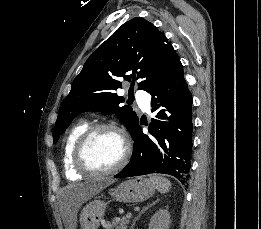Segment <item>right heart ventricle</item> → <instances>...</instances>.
<instances>
[{
    "mask_svg": "<svg viewBox=\"0 0 261 229\" xmlns=\"http://www.w3.org/2000/svg\"><path fill=\"white\" fill-rule=\"evenodd\" d=\"M89 127L85 121L79 122L66 135L62 144V163L67 173L82 175L73 163V148L82 133Z\"/></svg>",
    "mask_w": 261,
    "mask_h": 229,
    "instance_id": "e07e8e85",
    "label": "right heart ventricle"
}]
</instances>
